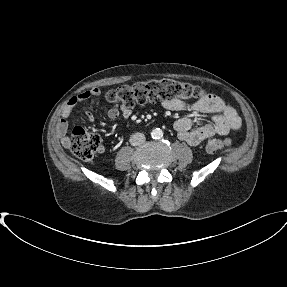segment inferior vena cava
Instances as JSON below:
<instances>
[{
  "instance_id": "602c4592",
  "label": "inferior vena cava",
  "mask_w": 287,
  "mask_h": 287,
  "mask_svg": "<svg viewBox=\"0 0 287 287\" xmlns=\"http://www.w3.org/2000/svg\"><path fill=\"white\" fill-rule=\"evenodd\" d=\"M145 140H146L145 135L142 134V133L137 132V133H134V134L131 135V137H130V144L132 146H138V145L143 144L145 142Z\"/></svg>"
}]
</instances>
